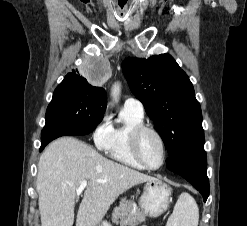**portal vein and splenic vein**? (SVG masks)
Wrapping results in <instances>:
<instances>
[{
	"label": "portal vein and splenic vein",
	"mask_w": 247,
	"mask_h": 226,
	"mask_svg": "<svg viewBox=\"0 0 247 226\" xmlns=\"http://www.w3.org/2000/svg\"><path fill=\"white\" fill-rule=\"evenodd\" d=\"M96 182H105L104 180H96ZM87 186V181H83L80 186L77 189V196H79L81 194V192L85 189V187Z\"/></svg>",
	"instance_id": "1"
}]
</instances>
